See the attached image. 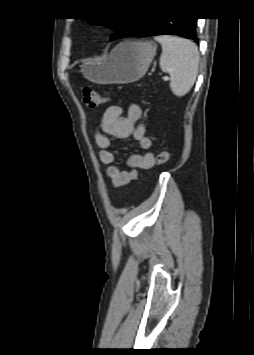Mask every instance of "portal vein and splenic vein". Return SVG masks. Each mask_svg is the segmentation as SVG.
Here are the masks:
<instances>
[{
    "mask_svg": "<svg viewBox=\"0 0 254 355\" xmlns=\"http://www.w3.org/2000/svg\"><path fill=\"white\" fill-rule=\"evenodd\" d=\"M163 79H164L165 81H167L169 78H168L167 76H165Z\"/></svg>",
    "mask_w": 254,
    "mask_h": 355,
    "instance_id": "18ae733b",
    "label": "portal vein and splenic vein"
}]
</instances>
